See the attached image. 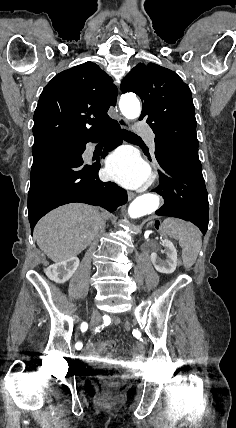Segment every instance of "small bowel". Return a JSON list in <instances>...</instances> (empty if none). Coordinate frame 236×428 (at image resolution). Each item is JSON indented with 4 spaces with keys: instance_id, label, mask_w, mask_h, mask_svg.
Segmentation results:
<instances>
[{
    "instance_id": "small-bowel-1",
    "label": "small bowel",
    "mask_w": 236,
    "mask_h": 428,
    "mask_svg": "<svg viewBox=\"0 0 236 428\" xmlns=\"http://www.w3.org/2000/svg\"><path fill=\"white\" fill-rule=\"evenodd\" d=\"M119 323L120 319L117 316H104L100 326L93 328L92 331L96 333L104 326L111 324L116 325ZM113 345L111 341H99L96 345L88 342L85 348L84 358L90 363L115 366L123 369H135L142 363L145 351L142 342H137L133 346V353L128 358L116 357L112 352H107Z\"/></svg>"
}]
</instances>
